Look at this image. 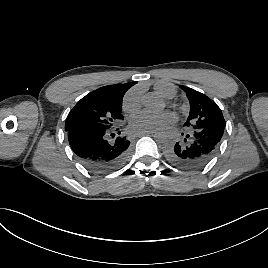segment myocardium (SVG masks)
<instances>
[{"instance_id":"myocardium-1","label":"myocardium","mask_w":268,"mask_h":268,"mask_svg":"<svg viewBox=\"0 0 268 268\" xmlns=\"http://www.w3.org/2000/svg\"><path fill=\"white\" fill-rule=\"evenodd\" d=\"M168 106L171 107V108H173V109H178L179 108L178 104H176L174 102H169L168 103Z\"/></svg>"}]
</instances>
